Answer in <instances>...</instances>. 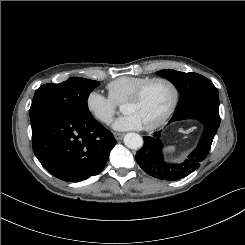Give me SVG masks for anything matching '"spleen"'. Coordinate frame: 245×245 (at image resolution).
<instances>
[{
    "instance_id": "obj_1",
    "label": "spleen",
    "mask_w": 245,
    "mask_h": 245,
    "mask_svg": "<svg viewBox=\"0 0 245 245\" xmlns=\"http://www.w3.org/2000/svg\"><path fill=\"white\" fill-rule=\"evenodd\" d=\"M164 151L166 154H169L170 156H172L175 153V146L173 145L167 146Z\"/></svg>"
}]
</instances>
